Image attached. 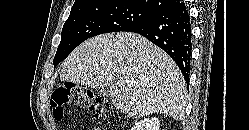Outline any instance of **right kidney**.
<instances>
[{
    "mask_svg": "<svg viewBox=\"0 0 249 130\" xmlns=\"http://www.w3.org/2000/svg\"><path fill=\"white\" fill-rule=\"evenodd\" d=\"M160 121L158 118H145L137 122L131 130H159Z\"/></svg>",
    "mask_w": 249,
    "mask_h": 130,
    "instance_id": "right-kidney-1",
    "label": "right kidney"
}]
</instances>
